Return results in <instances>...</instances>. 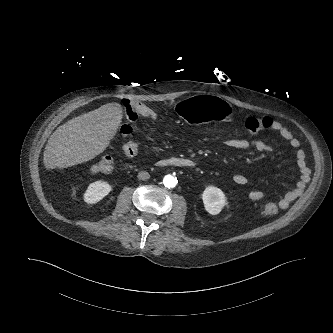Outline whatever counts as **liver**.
<instances>
[{"mask_svg": "<svg viewBox=\"0 0 333 333\" xmlns=\"http://www.w3.org/2000/svg\"><path fill=\"white\" fill-rule=\"evenodd\" d=\"M122 117L121 105L108 103L61 125L46 144L44 166L63 169L94 159L108 147Z\"/></svg>", "mask_w": 333, "mask_h": 333, "instance_id": "obj_1", "label": "liver"}]
</instances>
